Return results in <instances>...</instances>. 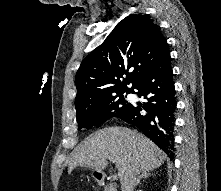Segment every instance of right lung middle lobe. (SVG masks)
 I'll return each instance as SVG.
<instances>
[{
	"mask_svg": "<svg viewBox=\"0 0 221 191\" xmlns=\"http://www.w3.org/2000/svg\"><path fill=\"white\" fill-rule=\"evenodd\" d=\"M127 93H132V90ZM124 93L106 99L77 113L78 128H91L104 123L107 119H122L130 111L132 104L124 98Z\"/></svg>",
	"mask_w": 221,
	"mask_h": 191,
	"instance_id": "1",
	"label": "right lung middle lobe"
}]
</instances>
